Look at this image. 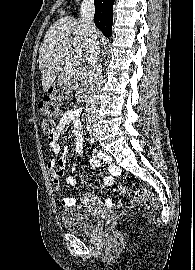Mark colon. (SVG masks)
Instances as JSON below:
<instances>
[{
  "instance_id": "5ec220e1",
  "label": "colon",
  "mask_w": 195,
  "mask_h": 270,
  "mask_svg": "<svg viewBox=\"0 0 195 270\" xmlns=\"http://www.w3.org/2000/svg\"><path fill=\"white\" fill-rule=\"evenodd\" d=\"M71 89L72 85L55 86L52 88L51 93L46 95L39 103L38 110L44 117L41 127L45 134L49 136L53 134L56 127L54 119L59 114L61 102L69 97ZM118 190L122 194H128L132 201L143 202L149 209H156L158 207L157 200L148 194H143L135 189H128L125 186H120ZM121 214L122 213H117L116 215H112L107 218L105 221V227H110Z\"/></svg>"
}]
</instances>
